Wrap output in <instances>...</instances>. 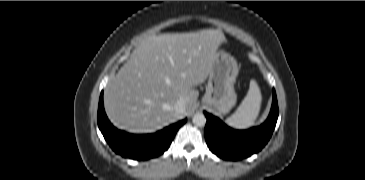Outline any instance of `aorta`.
Wrapping results in <instances>:
<instances>
[{
  "mask_svg": "<svg viewBox=\"0 0 365 180\" xmlns=\"http://www.w3.org/2000/svg\"><path fill=\"white\" fill-rule=\"evenodd\" d=\"M206 121H207V119L203 113H196L192 119V122L195 125L200 126V127L205 126Z\"/></svg>",
  "mask_w": 365,
  "mask_h": 180,
  "instance_id": "762f6f07",
  "label": "aorta"
}]
</instances>
